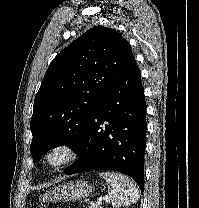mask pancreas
Returning a JSON list of instances; mask_svg holds the SVG:
<instances>
[{"label": "pancreas", "instance_id": "cf45deb5", "mask_svg": "<svg viewBox=\"0 0 199 208\" xmlns=\"http://www.w3.org/2000/svg\"><path fill=\"white\" fill-rule=\"evenodd\" d=\"M88 208H102L100 205L91 202Z\"/></svg>", "mask_w": 199, "mask_h": 208}]
</instances>
